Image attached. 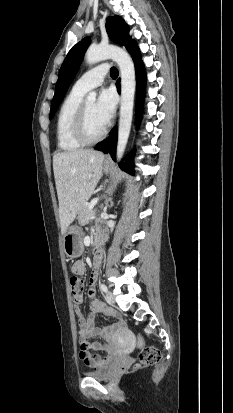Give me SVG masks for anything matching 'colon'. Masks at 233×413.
Returning <instances> with one entry per match:
<instances>
[{"mask_svg":"<svg viewBox=\"0 0 233 413\" xmlns=\"http://www.w3.org/2000/svg\"><path fill=\"white\" fill-rule=\"evenodd\" d=\"M84 282L78 276L70 277V287L73 294L79 293L83 289ZM140 355L139 362L142 365H152L160 361L161 352L153 346H145L142 340H139Z\"/></svg>","mask_w":233,"mask_h":413,"instance_id":"obj_1","label":"colon"}]
</instances>
